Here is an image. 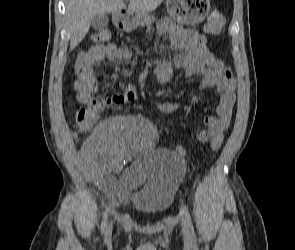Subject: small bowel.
Instances as JSON below:
<instances>
[{"label":"small bowel","mask_w":295,"mask_h":250,"mask_svg":"<svg viewBox=\"0 0 295 250\" xmlns=\"http://www.w3.org/2000/svg\"><path fill=\"white\" fill-rule=\"evenodd\" d=\"M158 32L168 35L171 45L181 51L173 61L161 60L157 63L154 73L160 83L169 82L174 69H182L188 76L200 77L201 89L214 87L220 93L217 115L206 116L204 127L197 129L195 135L200 142L210 140V144L219 143L221 147L235 104V80L224 75V62L209 51L205 36L198 31L184 29L163 19L158 23ZM131 57L129 49L108 43L90 47L82 61L74 59V88L78 102L95 106L101 113L110 106L133 101L136 91L132 84H128L122 93L103 99L97 97L102 62ZM158 107L162 112L171 113L177 109V104L161 103ZM155 140V128L140 115L110 118L97 127L84 145V171L116 199L126 200L131 191L148 178V161L140 153L151 149ZM175 151L179 155L186 153L182 146H176ZM125 161L132 163L120 178H115L112 171Z\"/></svg>","instance_id":"obj_1"}]
</instances>
